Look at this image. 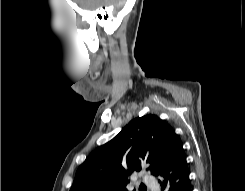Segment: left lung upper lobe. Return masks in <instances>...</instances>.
Returning <instances> with one entry per match:
<instances>
[{
  "label": "left lung upper lobe",
  "instance_id": "obj_1",
  "mask_svg": "<svg viewBox=\"0 0 245 191\" xmlns=\"http://www.w3.org/2000/svg\"><path fill=\"white\" fill-rule=\"evenodd\" d=\"M181 148L178 135L158 116L137 117L86 158L70 191H127L129 174L146 166L158 176Z\"/></svg>",
  "mask_w": 245,
  "mask_h": 191
}]
</instances>
